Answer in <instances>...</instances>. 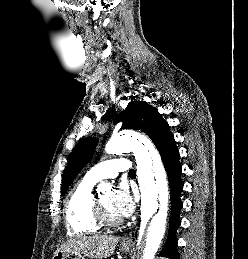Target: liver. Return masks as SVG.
<instances>
[{
    "instance_id": "1",
    "label": "liver",
    "mask_w": 248,
    "mask_h": 259,
    "mask_svg": "<svg viewBox=\"0 0 248 259\" xmlns=\"http://www.w3.org/2000/svg\"><path fill=\"white\" fill-rule=\"evenodd\" d=\"M119 242V237L111 235H92L72 238L66 241L55 252H74L91 259H103L110 257Z\"/></svg>"
}]
</instances>
